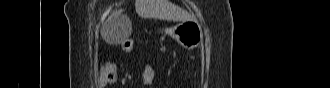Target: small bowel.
Wrapping results in <instances>:
<instances>
[{
	"label": "small bowel",
	"instance_id": "1",
	"mask_svg": "<svg viewBox=\"0 0 330 88\" xmlns=\"http://www.w3.org/2000/svg\"><path fill=\"white\" fill-rule=\"evenodd\" d=\"M124 51H126V50H124ZM154 75H155L154 68L150 64H146L144 66L143 75H142V80H143L144 84H146L148 86L152 85Z\"/></svg>",
	"mask_w": 330,
	"mask_h": 88
}]
</instances>
